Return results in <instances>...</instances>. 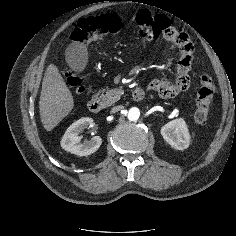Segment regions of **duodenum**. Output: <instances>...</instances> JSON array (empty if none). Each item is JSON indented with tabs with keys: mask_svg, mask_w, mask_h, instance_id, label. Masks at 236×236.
<instances>
[{
	"mask_svg": "<svg viewBox=\"0 0 236 236\" xmlns=\"http://www.w3.org/2000/svg\"><path fill=\"white\" fill-rule=\"evenodd\" d=\"M145 95V89L143 87H137L132 92L134 100H141ZM88 109L93 113H99L103 109V104L100 98L93 97L88 102Z\"/></svg>",
	"mask_w": 236,
	"mask_h": 236,
	"instance_id": "410a0bca",
	"label": "duodenum"
}]
</instances>
